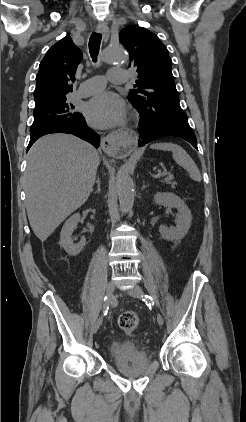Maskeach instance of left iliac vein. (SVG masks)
<instances>
[{
	"mask_svg": "<svg viewBox=\"0 0 246 422\" xmlns=\"http://www.w3.org/2000/svg\"><path fill=\"white\" fill-rule=\"evenodd\" d=\"M127 293L135 298H140L143 295V291L139 286H133L132 288L127 290ZM157 323L162 326L164 323V319L161 314L157 315Z\"/></svg>",
	"mask_w": 246,
	"mask_h": 422,
	"instance_id": "obj_1",
	"label": "left iliac vein"
}]
</instances>
